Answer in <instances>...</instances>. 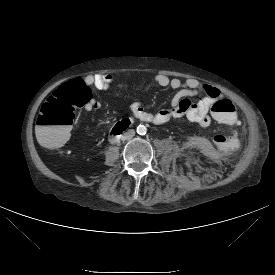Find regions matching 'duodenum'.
<instances>
[{
    "mask_svg": "<svg viewBox=\"0 0 275 275\" xmlns=\"http://www.w3.org/2000/svg\"><path fill=\"white\" fill-rule=\"evenodd\" d=\"M133 124V120L131 118H125L119 122H117L111 129L109 140L112 143H115L121 134L126 131Z\"/></svg>",
    "mask_w": 275,
    "mask_h": 275,
    "instance_id": "410a0bca",
    "label": "duodenum"
}]
</instances>
